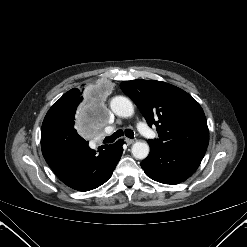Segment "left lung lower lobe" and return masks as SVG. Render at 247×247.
Listing matches in <instances>:
<instances>
[{
    "label": "left lung lower lobe",
    "mask_w": 247,
    "mask_h": 247,
    "mask_svg": "<svg viewBox=\"0 0 247 247\" xmlns=\"http://www.w3.org/2000/svg\"><path fill=\"white\" fill-rule=\"evenodd\" d=\"M150 153L141 163L144 172L163 184H178L190 177L200 165L207 146L185 143L166 148L149 142Z\"/></svg>",
    "instance_id": "left-lung-lower-lobe-1"
}]
</instances>
